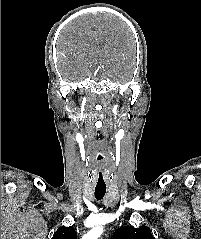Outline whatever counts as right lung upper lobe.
<instances>
[{"label":"right lung upper lobe","instance_id":"1","mask_svg":"<svg viewBox=\"0 0 201 239\" xmlns=\"http://www.w3.org/2000/svg\"><path fill=\"white\" fill-rule=\"evenodd\" d=\"M52 239H77V236L72 226H63L57 229Z\"/></svg>","mask_w":201,"mask_h":239}]
</instances>
